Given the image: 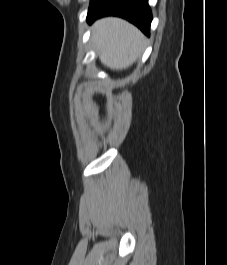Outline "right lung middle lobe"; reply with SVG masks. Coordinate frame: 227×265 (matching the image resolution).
<instances>
[{
    "instance_id": "1",
    "label": "right lung middle lobe",
    "mask_w": 227,
    "mask_h": 265,
    "mask_svg": "<svg viewBox=\"0 0 227 265\" xmlns=\"http://www.w3.org/2000/svg\"><path fill=\"white\" fill-rule=\"evenodd\" d=\"M106 0H91L87 18L92 16L105 2Z\"/></svg>"
}]
</instances>
